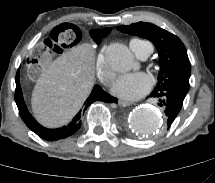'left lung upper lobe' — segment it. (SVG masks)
I'll list each match as a JSON object with an SVG mask.
<instances>
[{
	"label": "left lung upper lobe",
	"instance_id": "1",
	"mask_svg": "<svg viewBox=\"0 0 215 183\" xmlns=\"http://www.w3.org/2000/svg\"><path fill=\"white\" fill-rule=\"evenodd\" d=\"M121 32L152 41L159 54L160 72L155 89L175 85L189 91L190 61L182 41L172 33L151 23L139 22L117 27Z\"/></svg>",
	"mask_w": 215,
	"mask_h": 183
}]
</instances>
